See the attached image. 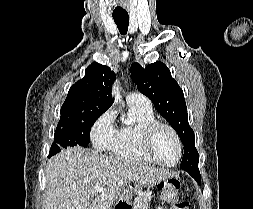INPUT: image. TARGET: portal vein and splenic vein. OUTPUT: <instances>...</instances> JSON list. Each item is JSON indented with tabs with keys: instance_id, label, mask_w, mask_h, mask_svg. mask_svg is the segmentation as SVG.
<instances>
[{
	"instance_id": "obj_1",
	"label": "portal vein and splenic vein",
	"mask_w": 253,
	"mask_h": 209,
	"mask_svg": "<svg viewBox=\"0 0 253 209\" xmlns=\"http://www.w3.org/2000/svg\"><path fill=\"white\" fill-rule=\"evenodd\" d=\"M104 191V188L101 187L100 185H96L93 192H103Z\"/></svg>"
}]
</instances>
